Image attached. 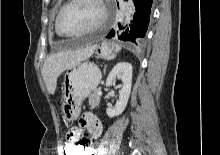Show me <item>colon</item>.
I'll return each instance as SVG.
<instances>
[{"label":"colon","mask_w":220,"mask_h":155,"mask_svg":"<svg viewBox=\"0 0 220 155\" xmlns=\"http://www.w3.org/2000/svg\"><path fill=\"white\" fill-rule=\"evenodd\" d=\"M64 155H89L91 142L88 139H66Z\"/></svg>","instance_id":"1"}]
</instances>
